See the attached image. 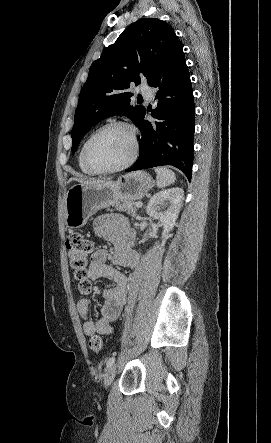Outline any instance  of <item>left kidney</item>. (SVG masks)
Here are the masks:
<instances>
[{
  "label": "left kidney",
  "mask_w": 271,
  "mask_h": 443,
  "mask_svg": "<svg viewBox=\"0 0 271 443\" xmlns=\"http://www.w3.org/2000/svg\"><path fill=\"white\" fill-rule=\"evenodd\" d=\"M183 196L182 188H171V190H164L151 198L146 212L148 216L163 225L162 237H167L168 231L175 225L183 204ZM158 210H163V212H158Z\"/></svg>",
  "instance_id": "obj_1"
}]
</instances>
